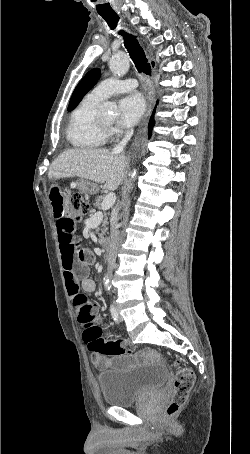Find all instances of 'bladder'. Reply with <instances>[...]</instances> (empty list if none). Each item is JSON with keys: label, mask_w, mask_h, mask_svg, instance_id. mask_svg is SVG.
<instances>
[{"label": "bladder", "mask_w": 250, "mask_h": 454, "mask_svg": "<svg viewBox=\"0 0 250 454\" xmlns=\"http://www.w3.org/2000/svg\"><path fill=\"white\" fill-rule=\"evenodd\" d=\"M165 378V368L154 363L104 372L99 375L98 384L106 404L128 407L159 390Z\"/></svg>", "instance_id": "31cf9c89"}]
</instances>
